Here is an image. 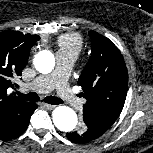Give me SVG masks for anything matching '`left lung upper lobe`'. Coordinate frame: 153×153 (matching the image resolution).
<instances>
[{
    "instance_id": "obj_1",
    "label": "left lung upper lobe",
    "mask_w": 153,
    "mask_h": 153,
    "mask_svg": "<svg viewBox=\"0 0 153 153\" xmlns=\"http://www.w3.org/2000/svg\"><path fill=\"white\" fill-rule=\"evenodd\" d=\"M90 59L78 79L82 96L83 120L86 131L96 136L104 134L120 115L128 87V73L118 48L105 36L90 31Z\"/></svg>"
}]
</instances>
